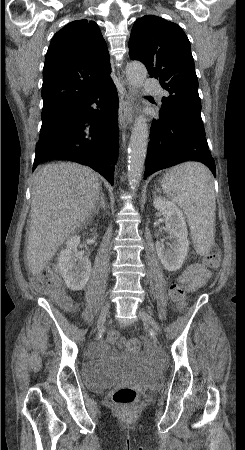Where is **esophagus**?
Masks as SVG:
<instances>
[{"label": "esophagus", "instance_id": "1", "mask_svg": "<svg viewBox=\"0 0 245 450\" xmlns=\"http://www.w3.org/2000/svg\"><path fill=\"white\" fill-rule=\"evenodd\" d=\"M122 82V91L120 94L119 104V126L120 129H124L127 125H130L134 118V100L135 93L129 83L119 75Z\"/></svg>", "mask_w": 245, "mask_h": 450}]
</instances>
